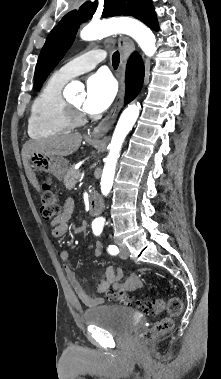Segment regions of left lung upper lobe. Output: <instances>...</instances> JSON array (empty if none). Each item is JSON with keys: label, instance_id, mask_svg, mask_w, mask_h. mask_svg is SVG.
Wrapping results in <instances>:
<instances>
[{"label": "left lung upper lobe", "instance_id": "5c2ea615", "mask_svg": "<svg viewBox=\"0 0 221 379\" xmlns=\"http://www.w3.org/2000/svg\"><path fill=\"white\" fill-rule=\"evenodd\" d=\"M98 2H85L79 10L67 13L50 32L41 50L35 69V86L40 90L49 73L71 47L79 25L92 18ZM152 7L151 0H105L102 17L129 15L141 19Z\"/></svg>", "mask_w": 221, "mask_h": 379}]
</instances>
